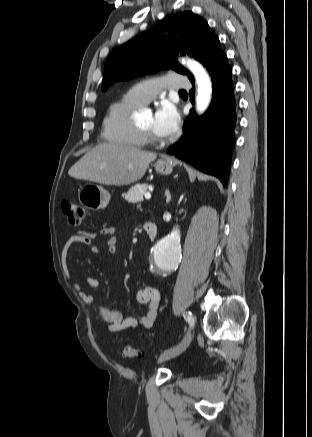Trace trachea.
<instances>
[{"instance_id": "3493384b", "label": "trachea", "mask_w": 312, "mask_h": 437, "mask_svg": "<svg viewBox=\"0 0 312 437\" xmlns=\"http://www.w3.org/2000/svg\"><path fill=\"white\" fill-rule=\"evenodd\" d=\"M179 93H186V91L185 90H180Z\"/></svg>"}]
</instances>
